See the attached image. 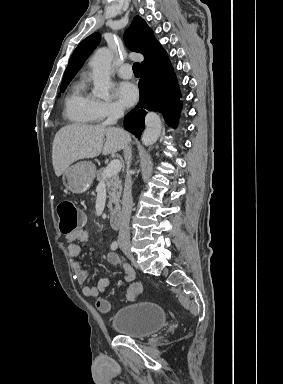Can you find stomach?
Returning <instances> with one entry per match:
<instances>
[{
    "mask_svg": "<svg viewBox=\"0 0 283 384\" xmlns=\"http://www.w3.org/2000/svg\"><path fill=\"white\" fill-rule=\"evenodd\" d=\"M96 170L92 162H77L63 172V186L72 194H84L89 190Z\"/></svg>",
    "mask_w": 283,
    "mask_h": 384,
    "instance_id": "1",
    "label": "stomach"
}]
</instances>
